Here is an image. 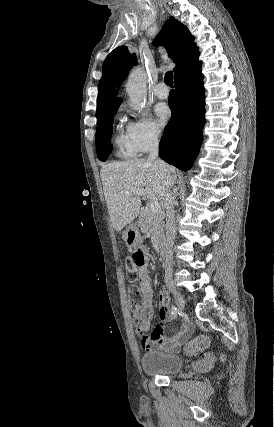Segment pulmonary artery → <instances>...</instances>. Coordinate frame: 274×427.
I'll return each mask as SVG.
<instances>
[{
	"label": "pulmonary artery",
	"instance_id": "obj_1",
	"mask_svg": "<svg viewBox=\"0 0 274 427\" xmlns=\"http://www.w3.org/2000/svg\"><path fill=\"white\" fill-rule=\"evenodd\" d=\"M169 92H170V90H169L168 86L164 83H159L154 88L155 95L160 99L168 98Z\"/></svg>",
	"mask_w": 274,
	"mask_h": 427
}]
</instances>
